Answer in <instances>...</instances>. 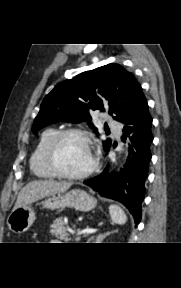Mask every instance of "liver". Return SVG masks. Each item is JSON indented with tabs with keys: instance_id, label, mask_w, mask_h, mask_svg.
I'll return each mask as SVG.
<instances>
[{
	"instance_id": "obj_1",
	"label": "liver",
	"mask_w": 181,
	"mask_h": 288,
	"mask_svg": "<svg viewBox=\"0 0 181 288\" xmlns=\"http://www.w3.org/2000/svg\"><path fill=\"white\" fill-rule=\"evenodd\" d=\"M71 185V182H57L52 180L31 181L19 192L13 210L29 205L47 196L64 193Z\"/></svg>"
}]
</instances>
